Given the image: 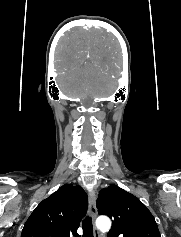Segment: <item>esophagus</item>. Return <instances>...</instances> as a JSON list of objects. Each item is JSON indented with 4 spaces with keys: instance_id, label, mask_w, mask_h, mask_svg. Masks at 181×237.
<instances>
[{
    "instance_id": "obj_1",
    "label": "esophagus",
    "mask_w": 181,
    "mask_h": 237,
    "mask_svg": "<svg viewBox=\"0 0 181 237\" xmlns=\"http://www.w3.org/2000/svg\"><path fill=\"white\" fill-rule=\"evenodd\" d=\"M88 198H89V210H90V215L92 217V220L94 221L96 219L97 216V208H96V191L93 190L88 194ZM94 236L95 237H99V233L96 230V228H94Z\"/></svg>"
}]
</instances>
